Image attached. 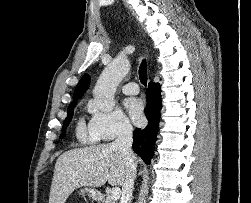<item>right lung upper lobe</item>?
Instances as JSON below:
<instances>
[{
    "label": "right lung upper lobe",
    "mask_w": 251,
    "mask_h": 203,
    "mask_svg": "<svg viewBox=\"0 0 251 203\" xmlns=\"http://www.w3.org/2000/svg\"><path fill=\"white\" fill-rule=\"evenodd\" d=\"M89 84H90V77L87 74H85L77 84L73 95V101L70 104L76 102L77 99L83 96V94L88 89Z\"/></svg>",
    "instance_id": "obj_1"
}]
</instances>
